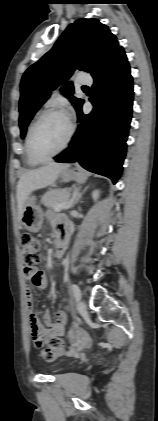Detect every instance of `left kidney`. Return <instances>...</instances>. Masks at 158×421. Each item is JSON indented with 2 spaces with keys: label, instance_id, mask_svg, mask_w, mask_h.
I'll use <instances>...</instances> for the list:
<instances>
[{
  "label": "left kidney",
  "instance_id": "obj_1",
  "mask_svg": "<svg viewBox=\"0 0 158 421\" xmlns=\"http://www.w3.org/2000/svg\"><path fill=\"white\" fill-rule=\"evenodd\" d=\"M92 197H93V199L96 201V200L98 199V197H99V190H95V191H93V193H92Z\"/></svg>",
  "mask_w": 158,
  "mask_h": 421
}]
</instances>
